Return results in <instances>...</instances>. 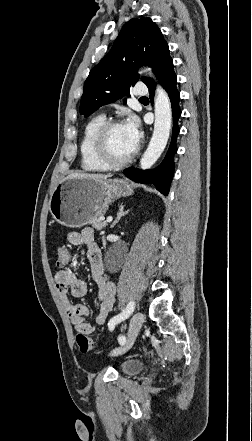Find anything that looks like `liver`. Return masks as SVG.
Here are the masks:
<instances>
[{"label":"liver","instance_id":"liver-1","mask_svg":"<svg viewBox=\"0 0 252 441\" xmlns=\"http://www.w3.org/2000/svg\"><path fill=\"white\" fill-rule=\"evenodd\" d=\"M111 177L110 174L104 175V174H88V173H71L67 176L66 179L70 178H90L95 180H106L107 178Z\"/></svg>","mask_w":252,"mask_h":441}]
</instances>
